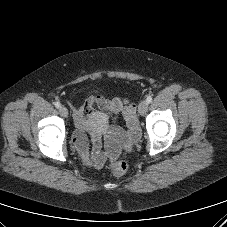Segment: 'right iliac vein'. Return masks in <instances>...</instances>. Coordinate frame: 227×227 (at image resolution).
<instances>
[{
    "instance_id": "right-iliac-vein-1",
    "label": "right iliac vein",
    "mask_w": 227,
    "mask_h": 227,
    "mask_svg": "<svg viewBox=\"0 0 227 227\" xmlns=\"http://www.w3.org/2000/svg\"><path fill=\"white\" fill-rule=\"evenodd\" d=\"M59 113L61 114V116L63 117H67L68 116V110L66 107L64 106H60L59 107Z\"/></svg>"
}]
</instances>
